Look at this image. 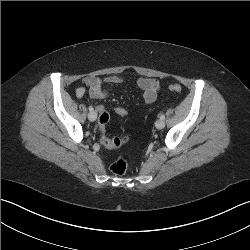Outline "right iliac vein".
<instances>
[{
	"label": "right iliac vein",
	"mask_w": 250,
	"mask_h": 250,
	"mask_svg": "<svg viewBox=\"0 0 250 250\" xmlns=\"http://www.w3.org/2000/svg\"><path fill=\"white\" fill-rule=\"evenodd\" d=\"M97 118V113L95 111H91L89 114H88V119L90 121H95Z\"/></svg>",
	"instance_id": "63e3f726"
}]
</instances>
